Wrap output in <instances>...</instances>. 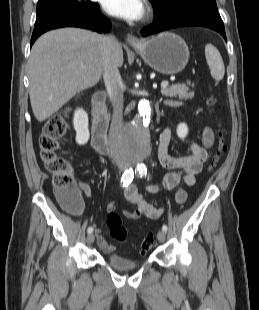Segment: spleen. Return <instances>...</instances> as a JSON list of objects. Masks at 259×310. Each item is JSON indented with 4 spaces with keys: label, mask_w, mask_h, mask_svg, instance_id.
<instances>
[{
    "label": "spleen",
    "mask_w": 259,
    "mask_h": 310,
    "mask_svg": "<svg viewBox=\"0 0 259 310\" xmlns=\"http://www.w3.org/2000/svg\"><path fill=\"white\" fill-rule=\"evenodd\" d=\"M205 57L213 79L216 81L222 80L225 74V67L218 49L210 43L207 44L205 46Z\"/></svg>",
    "instance_id": "obj_1"
}]
</instances>
